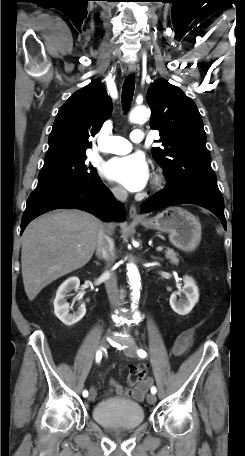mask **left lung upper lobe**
Instances as JSON below:
<instances>
[{
    "label": "left lung upper lobe",
    "instance_id": "left-lung-upper-lobe-1",
    "mask_svg": "<svg viewBox=\"0 0 245 456\" xmlns=\"http://www.w3.org/2000/svg\"><path fill=\"white\" fill-rule=\"evenodd\" d=\"M146 100L152 109L150 127L160 131L162 143L152 154L168 185L219 190L202 118L192 99L160 78L149 86Z\"/></svg>",
    "mask_w": 245,
    "mask_h": 456
}]
</instances>
